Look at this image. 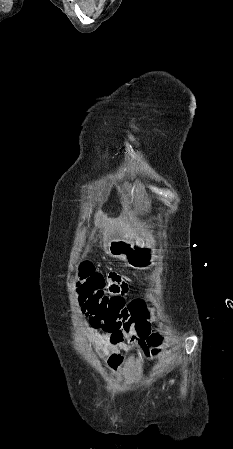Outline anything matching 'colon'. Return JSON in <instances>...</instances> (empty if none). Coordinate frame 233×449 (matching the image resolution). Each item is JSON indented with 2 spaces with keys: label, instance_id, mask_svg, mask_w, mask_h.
<instances>
[{
  "label": "colon",
  "instance_id": "colon-1",
  "mask_svg": "<svg viewBox=\"0 0 233 449\" xmlns=\"http://www.w3.org/2000/svg\"><path fill=\"white\" fill-rule=\"evenodd\" d=\"M107 277L97 271L89 261L79 266L78 303L89 315L93 328H123L125 334H140L138 337L141 349L150 346L149 337L153 320L148 319L150 313L144 310V301H123L121 296L106 294L103 289ZM113 297L111 301L109 298ZM151 344L158 345L160 336L154 334Z\"/></svg>",
  "mask_w": 233,
  "mask_h": 449
}]
</instances>
